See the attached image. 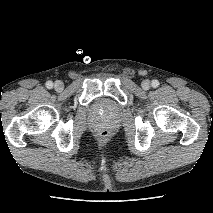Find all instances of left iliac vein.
<instances>
[{
  "instance_id": "4c4485c4",
  "label": "left iliac vein",
  "mask_w": 213,
  "mask_h": 213,
  "mask_svg": "<svg viewBox=\"0 0 213 213\" xmlns=\"http://www.w3.org/2000/svg\"><path fill=\"white\" fill-rule=\"evenodd\" d=\"M141 86L144 90H148L150 88V81L149 80H143L141 83Z\"/></svg>"
}]
</instances>
